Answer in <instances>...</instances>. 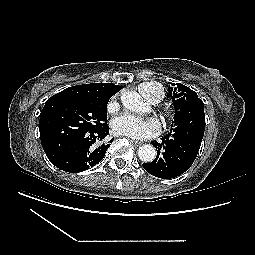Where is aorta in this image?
Here are the masks:
<instances>
[{
    "label": "aorta",
    "instance_id": "obj_1",
    "mask_svg": "<svg viewBox=\"0 0 255 255\" xmlns=\"http://www.w3.org/2000/svg\"><path fill=\"white\" fill-rule=\"evenodd\" d=\"M121 102L125 108L128 110L140 113L143 108V102L141 99L134 93H125L121 96ZM138 156L140 160L145 163L152 162L156 157V150L150 144H144L138 149Z\"/></svg>",
    "mask_w": 255,
    "mask_h": 255
}]
</instances>
